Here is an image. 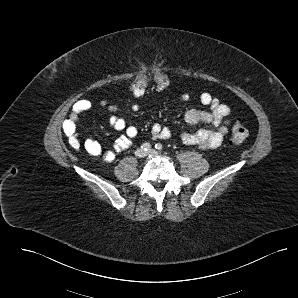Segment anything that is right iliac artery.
Returning a JSON list of instances; mask_svg holds the SVG:
<instances>
[{
	"label": "right iliac artery",
	"mask_w": 298,
	"mask_h": 298,
	"mask_svg": "<svg viewBox=\"0 0 298 298\" xmlns=\"http://www.w3.org/2000/svg\"><path fill=\"white\" fill-rule=\"evenodd\" d=\"M141 148L144 151H150L151 150V145L149 143H144V144L141 145Z\"/></svg>",
	"instance_id": "right-iliac-artery-1"
}]
</instances>
